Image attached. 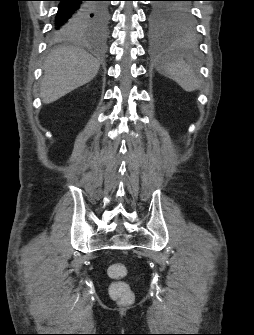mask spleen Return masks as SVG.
<instances>
[{
	"mask_svg": "<svg viewBox=\"0 0 254 335\" xmlns=\"http://www.w3.org/2000/svg\"><path fill=\"white\" fill-rule=\"evenodd\" d=\"M158 71L173 79L186 92L200 88V80L194 70L179 57L173 48H168L158 60Z\"/></svg>",
	"mask_w": 254,
	"mask_h": 335,
	"instance_id": "spleen-1",
	"label": "spleen"
}]
</instances>
